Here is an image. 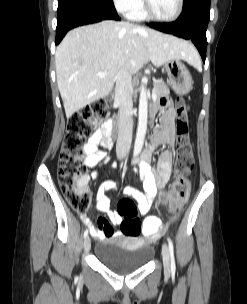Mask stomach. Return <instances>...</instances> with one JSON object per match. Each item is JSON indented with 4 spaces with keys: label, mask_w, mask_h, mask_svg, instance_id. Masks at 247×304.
Returning <instances> with one entry per match:
<instances>
[{
    "label": "stomach",
    "mask_w": 247,
    "mask_h": 304,
    "mask_svg": "<svg viewBox=\"0 0 247 304\" xmlns=\"http://www.w3.org/2000/svg\"><path fill=\"white\" fill-rule=\"evenodd\" d=\"M170 85L179 95H185L192 88V77L186 66L179 60L173 59L165 63Z\"/></svg>",
    "instance_id": "1"
}]
</instances>
